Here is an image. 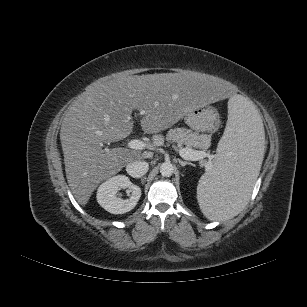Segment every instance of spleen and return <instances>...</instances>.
I'll return each mask as SVG.
<instances>
[{
	"label": "spleen",
	"instance_id": "3e777b00",
	"mask_svg": "<svg viewBox=\"0 0 307 307\" xmlns=\"http://www.w3.org/2000/svg\"><path fill=\"white\" fill-rule=\"evenodd\" d=\"M218 155L197 186L203 214L213 221L236 216L248 203L266 152L261 117L243 96L229 100Z\"/></svg>",
	"mask_w": 307,
	"mask_h": 307
}]
</instances>
